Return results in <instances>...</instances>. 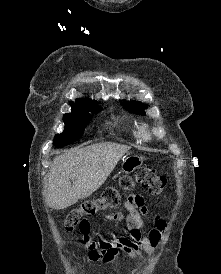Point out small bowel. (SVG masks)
Segmentation results:
<instances>
[{
	"instance_id": "small-bowel-1",
	"label": "small bowel",
	"mask_w": 221,
	"mask_h": 274,
	"mask_svg": "<svg viewBox=\"0 0 221 274\" xmlns=\"http://www.w3.org/2000/svg\"><path fill=\"white\" fill-rule=\"evenodd\" d=\"M122 208L126 214L116 212L104 216L105 223H112L115 226L123 224L121 234L110 233L106 237L101 231L95 230L91 221L85 217L79 225L82 244L93 262L110 263L123 252L131 256L137 266L141 267L158 247L166 222L160 216H156L153 221L154 227L147 236H144L142 229L145 217L150 213L144 198L132 194L123 202ZM132 273L137 274L136 270Z\"/></svg>"
}]
</instances>
